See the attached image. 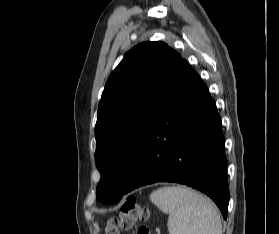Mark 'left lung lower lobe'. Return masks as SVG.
Wrapping results in <instances>:
<instances>
[{
	"label": "left lung lower lobe",
	"mask_w": 279,
	"mask_h": 234,
	"mask_svg": "<svg viewBox=\"0 0 279 234\" xmlns=\"http://www.w3.org/2000/svg\"><path fill=\"white\" fill-rule=\"evenodd\" d=\"M224 136L204 82L182 59L153 115L123 195L158 181L207 194L227 218L229 187Z\"/></svg>",
	"instance_id": "0a47b994"
}]
</instances>
